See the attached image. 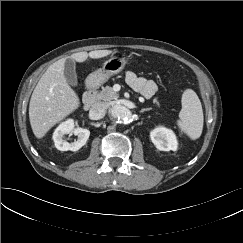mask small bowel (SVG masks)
Segmentation results:
<instances>
[{"label": "small bowel", "mask_w": 243, "mask_h": 243, "mask_svg": "<svg viewBox=\"0 0 243 243\" xmlns=\"http://www.w3.org/2000/svg\"><path fill=\"white\" fill-rule=\"evenodd\" d=\"M125 79L130 87L145 98H151L157 92L158 87L154 81L137 76L131 71L126 73Z\"/></svg>", "instance_id": "small-bowel-1"}]
</instances>
